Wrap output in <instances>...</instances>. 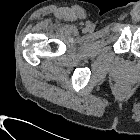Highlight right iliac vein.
<instances>
[{
	"label": "right iliac vein",
	"mask_w": 140,
	"mask_h": 140,
	"mask_svg": "<svg viewBox=\"0 0 140 140\" xmlns=\"http://www.w3.org/2000/svg\"><path fill=\"white\" fill-rule=\"evenodd\" d=\"M91 28H92V25H91V24H89V25L86 27V30H87V31H90V30H91Z\"/></svg>",
	"instance_id": "right-iliac-vein-1"
}]
</instances>
